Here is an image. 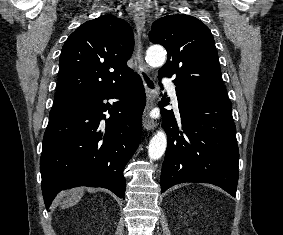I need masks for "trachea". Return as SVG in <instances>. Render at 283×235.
<instances>
[{"mask_svg": "<svg viewBox=\"0 0 283 235\" xmlns=\"http://www.w3.org/2000/svg\"><path fill=\"white\" fill-rule=\"evenodd\" d=\"M144 78H145V80H146L148 86H149L150 88H153V83L150 81V79H149L145 74H144Z\"/></svg>", "mask_w": 283, "mask_h": 235, "instance_id": "trachea-1", "label": "trachea"}]
</instances>
